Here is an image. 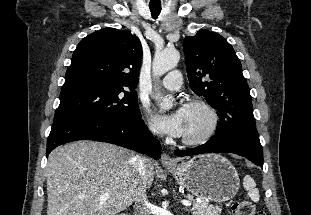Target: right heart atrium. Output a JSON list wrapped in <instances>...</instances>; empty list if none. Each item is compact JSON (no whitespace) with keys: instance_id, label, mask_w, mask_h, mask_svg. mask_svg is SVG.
<instances>
[{"instance_id":"1","label":"right heart atrium","mask_w":311,"mask_h":215,"mask_svg":"<svg viewBox=\"0 0 311 215\" xmlns=\"http://www.w3.org/2000/svg\"><path fill=\"white\" fill-rule=\"evenodd\" d=\"M146 127L150 134L157 135L159 134V129L155 122L151 118L146 119Z\"/></svg>"}]
</instances>
